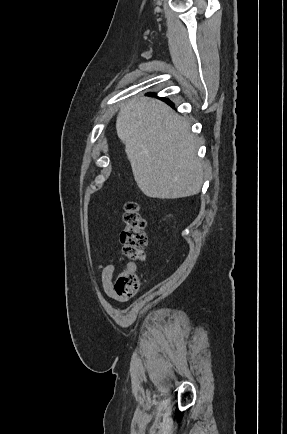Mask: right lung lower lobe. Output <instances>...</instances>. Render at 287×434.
<instances>
[{"instance_id":"obj_1","label":"right lung lower lobe","mask_w":287,"mask_h":434,"mask_svg":"<svg viewBox=\"0 0 287 434\" xmlns=\"http://www.w3.org/2000/svg\"><path fill=\"white\" fill-rule=\"evenodd\" d=\"M166 102H168L169 104H171L173 106V104L170 101L166 100Z\"/></svg>"}]
</instances>
